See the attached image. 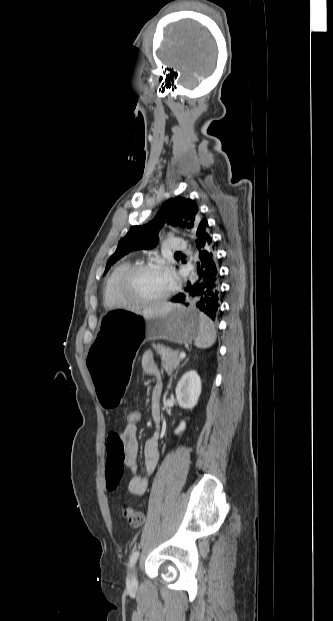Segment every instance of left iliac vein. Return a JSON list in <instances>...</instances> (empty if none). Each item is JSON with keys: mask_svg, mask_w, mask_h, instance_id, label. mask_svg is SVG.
<instances>
[{"mask_svg": "<svg viewBox=\"0 0 333 621\" xmlns=\"http://www.w3.org/2000/svg\"><path fill=\"white\" fill-rule=\"evenodd\" d=\"M128 582L130 585H135L137 582V572L136 568L133 569L132 573L129 574Z\"/></svg>", "mask_w": 333, "mask_h": 621, "instance_id": "4c4485c4", "label": "left iliac vein"}]
</instances>
